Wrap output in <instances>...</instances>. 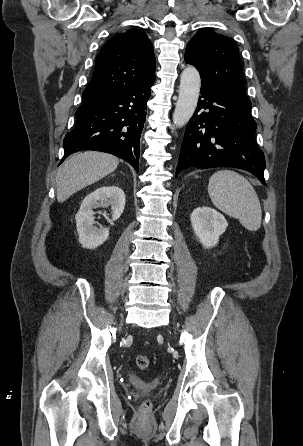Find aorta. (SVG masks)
<instances>
[{"instance_id": "obj_1", "label": "aorta", "mask_w": 303, "mask_h": 446, "mask_svg": "<svg viewBox=\"0 0 303 446\" xmlns=\"http://www.w3.org/2000/svg\"><path fill=\"white\" fill-rule=\"evenodd\" d=\"M200 87L198 70L193 66L186 67L181 73L179 96L173 113V123L176 127H183L192 117L198 103Z\"/></svg>"}]
</instances>
